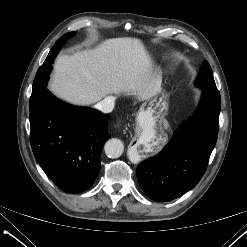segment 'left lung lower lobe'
Here are the masks:
<instances>
[{
    "instance_id": "obj_1",
    "label": "left lung lower lobe",
    "mask_w": 247,
    "mask_h": 247,
    "mask_svg": "<svg viewBox=\"0 0 247 247\" xmlns=\"http://www.w3.org/2000/svg\"><path fill=\"white\" fill-rule=\"evenodd\" d=\"M220 102V97L203 91L194 117L175 131L161 152L140 163L137 179L148 197L171 201L200 181L217 141Z\"/></svg>"
}]
</instances>
